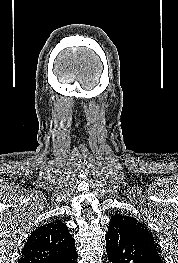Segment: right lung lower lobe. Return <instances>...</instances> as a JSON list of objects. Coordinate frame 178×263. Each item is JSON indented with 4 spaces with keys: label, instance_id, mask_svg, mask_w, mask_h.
I'll list each match as a JSON object with an SVG mask.
<instances>
[{
    "label": "right lung lower lobe",
    "instance_id": "98d812e1",
    "mask_svg": "<svg viewBox=\"0 0 178 263\" xmlns=\"http://www.w3.org/2000/svg\"><path fill=\"white\" fill-rule=\"evenodd\" d=\"M77 253L70 256L68 259L64 260L62 263H76Z\"/></svg>",
    "mask_w": 178,
    "mask_h": 263
}]
</instances>
